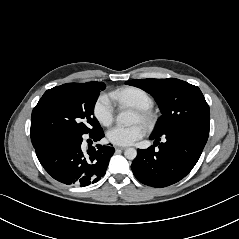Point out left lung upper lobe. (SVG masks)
<instances>
[{
	"label": "left lung upper lobe",
	"mask_w": 239,
	"mask_h": 239,
	"mask_svg": "<svg viewBox=\"0 0 239 239\" xmlns=\"http://www.w3.org/2000/svg\"><path fill=\"white\" fill-rule=\"evenodd\" d=\"M126 84L141 88L158 103L163 115L153 135L180 129L209 133V106L197 86L175 78L129 80Z\"/></svg>",
	"instance_id": "1"
}]
</instances>
